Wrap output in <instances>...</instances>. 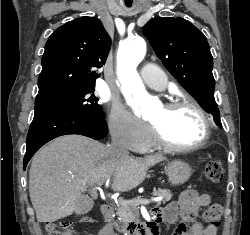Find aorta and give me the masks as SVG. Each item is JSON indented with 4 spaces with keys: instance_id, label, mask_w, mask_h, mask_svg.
<instances>
[{
    "instance_id": "obj_1",
    "label": "aorta",
    "mask_w": 250,
    "mask_h": 235,
    "mask_svg": "<svg viewBox=\"0 0 250 235\" xmlns=\"http://www.w3.org/2000/svg\"><path fill=\"white\" fill-rule=\"evenodd\" d=\"M146 54V43L143 39H137L134 42H125L120 55L122 63L119 72L124 81V95L132 101L133 98L140 103L145 114H150L153 107V100L147 94L145 87L135 71V67L142 61Z\"/></svg>"
}]
</instances>
